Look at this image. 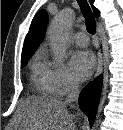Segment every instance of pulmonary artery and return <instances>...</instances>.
<instances>
[{"mask_svg":"<svg viewBox=\"0 0 123 130\" xmlns=\"http://www.w3.org/2000/svg\"><path fill=\"white\" fill-rule=\"evenodd\" d=\"M73 40L77 45L81 47H85L89 44V38L84 32H77L73 36Z\"/></svg>","mask_w":123,"mask_h":130,"instance_id":"1","label":"pulmonary artery"}]
</instances>
